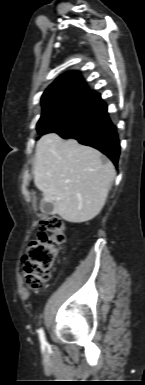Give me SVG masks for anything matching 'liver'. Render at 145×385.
<instances>
[{
    "instance_id": "obj_1",
    "label": "liver",
    "mask_w": 145,
    "mask_h": 385,
    "mask_svg": "<svg viewBox=\"0 0 145 385\" xmlns=\"http://www.w3.org/2000/svg\"><path fill=\"white\" fill-rule=\"evenodd\" d=\"M116 172L98 150L56 133L42 136L36 145L34 184L55 213L71 223H82L102 210Z\"/></svg>"
}]
</instances>
